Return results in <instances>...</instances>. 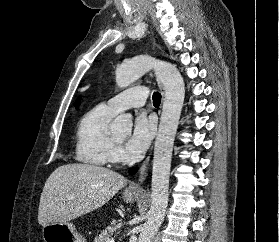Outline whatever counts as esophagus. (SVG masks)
<instances>
[{
    "instance_id": "34e87169",
    "label": "esophagus",
    "mask_w": 279,
    "mask_h": 242,
    "mask_svg": "<svg viewBox=\"0 0 279 242\" xmlns=\"http://www.w3.org/2000/svg\"><path fill=\"white\" fill-rule=\"evenodd\" d=\"M157 84L159 86V89H160L162 95H164L163 85L158 79H157ZM149 159H150V157H147V159L142 163V165L140 167V170H139L138 181L136 183H132V184L129 185V187H128L129 191H133V192H140L141 191V184L143 183V181L145 180V178L147 176Z\"/></svg>"
}]
</instances>
